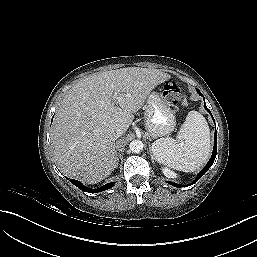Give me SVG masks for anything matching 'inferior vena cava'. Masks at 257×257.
Instances as JSON below:
<instances>
[{"label":"inferior vena cava","mask_w":257,"mask_h":257,"mask_svg":"<svg viewBox=\"0 0 257 257\" xmlns=\"http://www.w3.org/2000/svg\"><path fill=\"white\" fill-rule=\"evenodd\" d=\"M124 131L120 128L116 129L113 133V140L115 141L117 138L121 137Z\"/></svg>","instance_id":"obj_1"}]
</instances>
